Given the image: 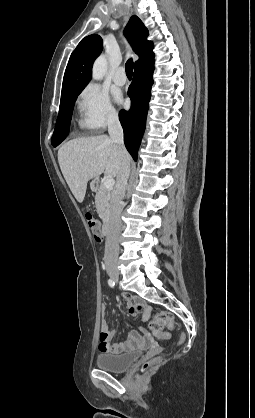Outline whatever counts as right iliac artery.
<instances>
[{
  "mask_svg": "<svg viewBox=\"0 0 255 418\" xmlns=\"http://www.w3.org/2000/svg\"><path fill=\"white\" fill-rule=\"evenodd\" d=\"M108 284H109V286H110L111 288H113V287H114V285H115V283H114V281H113L112 279H109V280H108Z\"/></svg>",
  "mask_w": 255,
  "mask_h": 418,
  "instance_id": "82829eb1",
  "label": "right iliac artery"
}]
</instances>
